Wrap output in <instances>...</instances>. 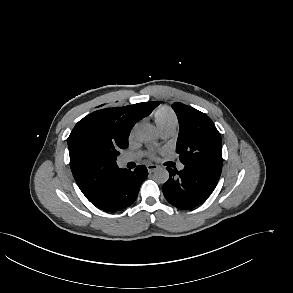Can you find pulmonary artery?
I'll list each match as a JSON object with an SVG mask.
<instances>
[{
  "instance_id": "obj_1",
  "label": "pulmonary artery",
  "mask_w": 293,
  "mask_h": 293,
  "mask_svg": "<svg viewBox=\"0 0 293 293\" xmlns=\"http://www.w3.org/2000/svg\"><path fill=\"white\" fill-rule=\"evenodd\" d=\"M160 133L163 138H169L174 135L175 128L163 129V130H160ZM136 159H137V156L128 155V156L122 157L120 162H121V164H127L128 162L134 161ZM183 168H184V165L179 164L178 169L182 170Z\"/></svg>"
}]
</instances>
